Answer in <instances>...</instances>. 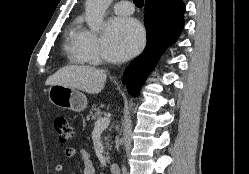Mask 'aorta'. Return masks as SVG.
Instances as JSON below:
<instances>
[{
	"label": "aorta",
	"mask_w": 249,
	"mask_h": 174,
	"mask_svg": "<svg viewBox=\"0 0 249 174\" xmlns=\"http://www.w3.org/2000/svg\"><path fill=\"white\" fill-rule=\"evenodd\" d=\"M112 0H86V22L92 31L102 29L104 15Z\"/></svg>",
	"instance_id": "1"
}]
</instances>
